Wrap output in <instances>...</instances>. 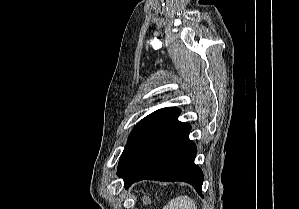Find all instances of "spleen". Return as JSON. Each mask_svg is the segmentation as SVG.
Instances as JSON below:
<instances>
[{"label":"spleen","instance_id":"3e777b00","mask_svg":"<svg viewBox=\"0 0 299 209\" xmlns=\"http://www.w3.org/2000/svg\"><path fill=\"white\" fill-rule=\"evenodd\" d=\"M163 209H197V207L189 196L181 195L172 199Z\"/></svg>","mask_w":299,"mask_h":209}]
</instances>
